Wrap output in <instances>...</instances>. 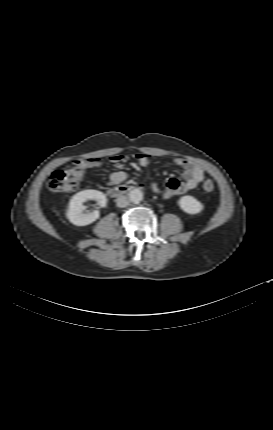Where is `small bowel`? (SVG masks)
I'll return each instance as SVG.
<instances>
[{"label": "small bowel", "mask_w": 273, "mask_h": 430, "mask_svg": "<svg viewBox=\"0 0 273 430\" xmlns=\"http://www.w3.org/2000/svg\"><path fill=\"white\" fill-rule=\"evenodd\" d=\"M136 160L141 166L146 167L150 163V156L144 153L137 154ZM110 161L113 164H119L124 161V156H112L110 157ZM174 163L182 169L183 182L174 177H169L165 182L164 189H161L156 183L152 184L153 191L164 199H169L175 195L194 189L205 177L204 170L200 166L192 164L183 158H175ZM98 164L99 160L96 158L82 157V159L74 161V166H80L83 169L98 166ZM126 177L125 172L116 171L110 174L109 181L111 184H118L123 182Z\"/></svg>", "instance_id": "obj_1"}]
</instances>
